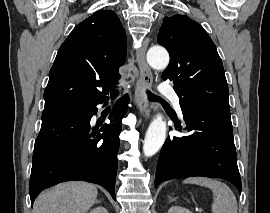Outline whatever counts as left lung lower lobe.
<instances>
[{
  "label": "left lung lower lobe",
  "instance_id": "obj_1",
  "mask_svg": "<svg viewBox=\"0 0 270 213\" xmlns=\"http://www.w3.org/2000/svg\"><path fill=\"white\" fill-rule=\"evenodd\" d=\"M180 106L191 134L168 136L159 155L155 187L170 179L204 176L227 180L241 193L230 111Z\"/></svg>",
  "mask_w": 270,
  "mask_h": 213
}]
</instances>
